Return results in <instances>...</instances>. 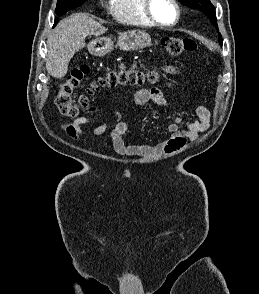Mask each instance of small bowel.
<instances>
[{"label": "small bowel", "mask_w": 259, "mask_h": 294, "mask_svg": "<svg viewBox=\"0 0 259 294\" xmlns=\"http://www.w3.org/2000/svg\"><path fill=\"white\" fill-rule=\"evenodd\" d=\"M167 87L174 89L172 83L167 82ZM134 105L138 108L145 107L149 103H153L158 107H165L167 102L159 88L152 87L148 89H139L133 95ZM91 115L76 118L72 124L63 125L65 132L73 139H79L82 136L81 127L93 122L99 112L94 108L88 110ZM112 114L116 117L113 122L104 123L94 130V135L99 136L109 128L111 131V142L114 151L126 157L135 156H154L165 153L170 154L182 148L187 140H195L198 136L205 132L210 126L211 113L208 108L199 105L195 108L197 120H189L183 122L181 118L175 117L168 126L170 137L156 145L147 144H127L124 140L128 133V123L122 118L119 110H113Z\"/></svg>", "instance_id": "small-bowel-1"}]
</instances>
